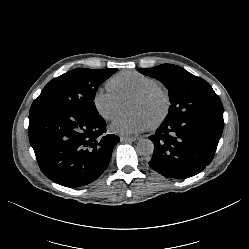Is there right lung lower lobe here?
<instances>
[{
  "instance_id": "obj_1",
  "label": "right lung lower lobe",
  "mask_w": 249,
  "mask_h": 249,
  "mask_svg": "<svg viewBox=\"0 0 249 249\" xmlns=\"http://www.w3.org/2000/svg\"><path fill=\"white\" fill-rule=\"evenodd\" d=\"M105 129L99 114L56 108L29 115V140L41 171L66 187L87 185L107 168L120 138Z\"/></svg>"
}]
</instances>
